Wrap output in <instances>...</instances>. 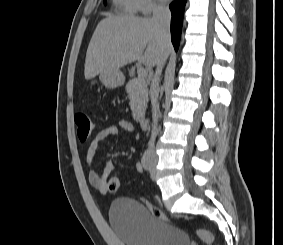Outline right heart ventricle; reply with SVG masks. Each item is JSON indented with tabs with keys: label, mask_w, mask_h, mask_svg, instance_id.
Listing matches in <instances>:
<instances>
[{
	"label": "right heart ventricle",
	"mask_w": 283,
	"mask_h": 245,
	"mask_svg": "<svg viewBox=\"0 0 283 245\" xmlns=\"http://www.w3.org/2000/svg\"><path fill=\"white\" fill-rule=\"evenodd\" d=\"M117 10L126 14H135L138 11L136 0H113Z\"/></svg>",
	"instance_id": "right-heart-ventricle-1"
}]
</instances>
